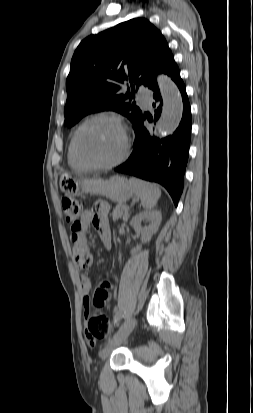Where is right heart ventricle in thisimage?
<instances>
[{
  "label": "right heart ventricle",
  "instance_id": "obj_1",
  "mask_svg": "<svg viewBox=\"0 0 253 413\" xmlns=\"http://www.w3.org/2000/svg\"><path fill=\"white\" fill-rule=\"evenodd\" d=\"M73 138H74V135L71 137L69 144H68V149H67L68 163L71 167L75 169H85L86 167L78 160V158L75 155Z\"/></svg>",
  "mask_w": 253,
  "mask_h": 413
}]
</instances>
